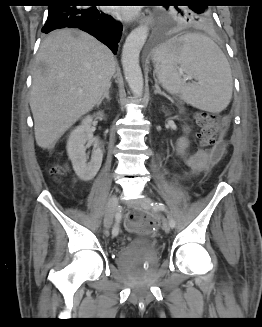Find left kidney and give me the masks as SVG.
I'll return each instance as SVG.
<instances>
[{
  "instance_id": "left-kidney-1",
  "label": "left kidney",
  "mask_w": 262,
  "mask_h": 327,
  "mask_svg": "<svg viewBox=\"0 0 262 327\" xmlns=\"http://www.w3.org/2000/svg\"><path fill=\"white\" fill-rule=\"evenodd\" d=\"M183 131L188 133L190 131V129L188 127H184ZM188 147V140L186 137H181L178 139L177 141V152L178 153H182L183 150Z\"/></svg>"
}]
</instances>
